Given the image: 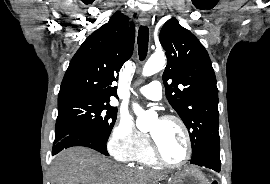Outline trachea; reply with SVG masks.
Instances as JSON below:
<instances>
[{"label":"trachea","mask_w":270,"mask_h":184,"mask_svg":"<svg viewBox=\"0 0 270 184\" xmlns=\"http://www.w3.org/2000/svg\"><path fill=\"white\" fill-rule=\"evenodd\" d=\"M149 41V29L146 26H140L138 31V51L140 60H144L147 56Z\"/></svg>","instance_id":"1"}]
</instances>
